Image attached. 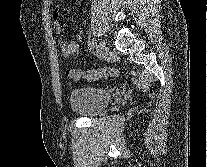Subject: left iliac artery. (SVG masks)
<instances>
[{
	"label": "left iliac artery",
	"instance_id": "obj_1",
	"mask_svg": "<svg viewBox=\"0 0 207 167\" xmlns=\"http://www.w3.org/2000/svg\"><path fill=\"white\" fill-rule=\"evenodd\" d=\"M95 44H96V39L95 38H92L91 41H89V44H88L89 49L90 50H93L94 47H95Z\"/></svg>",
	"mask_w": 207,
	"mask_h": 167
}]
</instances>
